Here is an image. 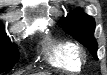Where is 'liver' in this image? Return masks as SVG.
Here are the masks:
<instances>
[{
	"instance_id": "liver-1",
	"label": "liver",
	"mask_w": 107,
	"mask_h": 75,
	"mask_svg": "<svg viewBox=\"0 0 107 75\" xmlns=\"http://www.w3.org/2000/svg\"><path fill=\"white\" fill-rule=\"evenodd\" d=\"M37 75H50L49 73H39Z\"/></svg>"
}]
</instances>
